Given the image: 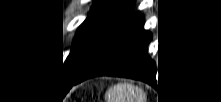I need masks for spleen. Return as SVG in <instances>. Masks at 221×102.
Here are the masks:
<instances>
[{
  "label": "spleen",
  "mask_w": 221,
  "mask_h": 102,
  "mask_svg": "<svg viewBox=\"0 0 221 102\" xmlns=\"http://www.w3.org/2000/svg\"><path fill=\"white\" fill-rule=\"evenodd\" d=\"M145 94L138 86L119 83L106 92L107 102H143Z\"/></svg>",
  "instance_id": "3e777b00"
}]
</instances>
